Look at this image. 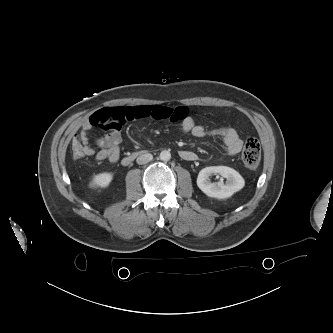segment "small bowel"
Returning <instances> with one entry per match:
<instances>
[{
    "mask_svg": "<svg viewBox=\"0 0 333 333\" xmlns=\"http://www.w3.org/2000/svg\"><path fill=\"white\" fill-rule=\"evenodd\" d=\"M147 118L177 123L184 132L196 137H204L207 134L205 127L195 122L187 107H168L164 105L107 107L93 113L81 127L79 137L85 156L93 157L97 161L117 162L120 155L119 145L122 141L123 125L130 120ZM93 127H100L107 131L105 135L96 140L99 147L97 151L91 146L88 139V131ZM220 137L228 156H236L240 153L243 141L234 128L227 127ZM180 155L185 160L195 159V154L191 151L184 150Z\"/></svg>",
    "mask_w": 333,
    "mask_h": 333,
    "instance_id": "1",
    "label": "small bowel"
}]
</instances>
